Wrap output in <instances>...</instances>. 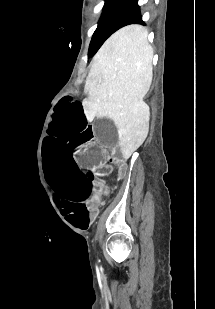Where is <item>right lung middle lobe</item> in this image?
I'll return each instance as SVG.
<instances>
[{
  "instance_id": "right-lung-middle-lobe-1",
  "label": "right lung middle lobe",
  "mask_w": 215,
  "mask_h": 309,
  "mask_svg": "<svg viewBox=\"0 0 215 309\" xmlns=\"http://www.w3.org/2000/svg\"><path fill=\"white\" fill-rule=\"evenodd\" d=\"M134 0H105L103 13L92 37L88 56H93L104 41L119 29V22Z\"/></svg>"
}]
</instances>
